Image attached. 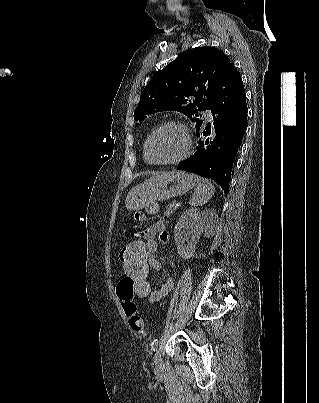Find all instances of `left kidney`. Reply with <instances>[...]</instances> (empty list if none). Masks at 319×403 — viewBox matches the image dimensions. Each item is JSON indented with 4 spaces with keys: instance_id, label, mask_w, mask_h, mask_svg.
Listing matches in <instances>:
<instances>
[{
    "instance_id": "1",
    "label": "left kidney",
    "mask_w": 319,
    "mask_h": 403,
    "mask_svg": "<svg viewBox=\"0 0 319 403\" xmlns=\"http://www.w3.org/2000/svg\"><path fill=\"white\" fill-rule=\"evenodd\" d=\"M216 217L212 209H206L200 213L196 208L186 210L180 217L174 229V238L177 244L178 253L182 258H190L193 256L196 245L200 239L201 233L205 229L208 218ZM186 223L191 224V240L185 244L182 237L181 229Z\"/></svg>"
}]
</instances>
